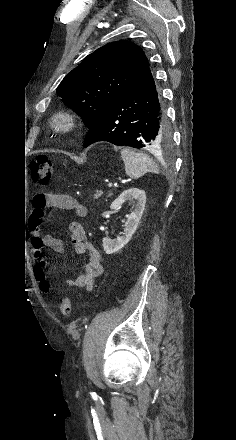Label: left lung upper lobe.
Segmentation results:
<instances>
[{"instance_id":"5c2ea615","label":"left lung upper lobe","mask_w":236,"mask_h":440,"mask_svg":"<svg viewBox=\"0 0 236 440\" xmlns=\"http://www.w3.org/2000/svg\"><path fill=\"white\" fill-rule=\"evenodd\" d=\"M149 69L142 49L120 40L87 56L57 88L64 104L93 127L108 107Z\"/></svg>"}]
</instances>
